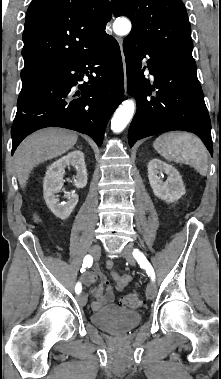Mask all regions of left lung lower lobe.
<instances>
[{
    "instance_id": "obj_1",
    "label": "left lung lower lobe",
    "mask_w": 221,
    "mask_h": 379,
    "mask_svg": "<svg viewBox=\"0 0 221 379\" xmlns=\"http://www.w3.org/2000/svg\"><path fill=\"white\" fill-rule=\"evenodd\" d=\"M123 50L127 90L137 101L128 132L130 146L151 135L183 130L198 135L212 155L211 122L196 66L169 59L131 35L125 38ZM146 56L150 59L142 68ZM146 67L154 76L153 84L144 77Z\"/></svg>"
}]
</instances>
